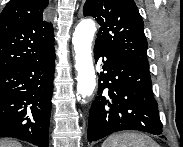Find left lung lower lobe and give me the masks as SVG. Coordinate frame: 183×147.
I'll return each mask as SVG.
<instances>
[{
    "label": "left lung lower lobe",
    "instance_id": "left-lung-lower-lobe-1",
    "mask_svg": "<svg viewBox=\"0 0 183 147\" xmlns=\"http://www.w3.org/2000/svg\"><path fill=\"white\" fill-rule=\"evenodd\" d=\"M100 57H106L102 60L106 73L99 76L98 96L90 109L88 140L96 141L122 130L160 135L162 123L149 69L95 45V61ZM105 88L108 94L103 95Z\"/></svg>",
    "mask_w": 183,
    "mask_h": 147
}]
</instances>
